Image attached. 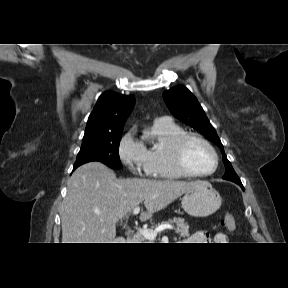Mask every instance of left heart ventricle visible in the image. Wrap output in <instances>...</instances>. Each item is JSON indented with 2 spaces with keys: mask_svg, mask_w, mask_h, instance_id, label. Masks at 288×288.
I'll use <instances>...</instances> for the list:
<instances>
[{
  "mask_svg": "<svg viewBox=\"0 0 288 288\" xmlns=\"http://www.w3.org/2000/svg\"><path fill=\"white\" fill-rule=\"evenodd\" d=\"M184 160L187 167L197 173H206L213 169L215 160L211 151L202 143L191 140L185 147Z\"/></svg>",
  "mask_w": 288,
  "mask_h": 288,
  "instance_id": "obj_1",
  "label": "left heart ventricle"
}]
</instances>
